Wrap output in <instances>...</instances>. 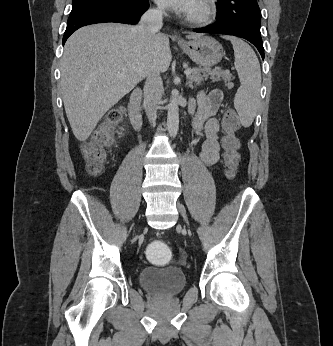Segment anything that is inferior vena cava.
Returning a JSON list of instances; mask_svg holds the SVG:
<instances>
[{"instance_id": "602c4592", "label": "inferior vena cava", "mask_w": 333, "mask_h": 346, "mask_svg": "<svg viewBox=\"0 0 333 346\" xmlns=\"http://www.w3.org/2000/svg\"><path fill=\"white\" fill-rule=\"evenodd\" d=\"M161 8L149 9L141 17L137 26L147 37L154 38L163 23ZM163 93V84L159 71L152 65L148 67L144 86V106L146 115L151 123H155L158 104Z\"/></svg>"}]
</instances>
